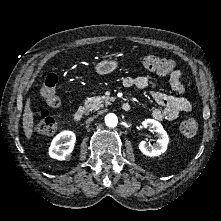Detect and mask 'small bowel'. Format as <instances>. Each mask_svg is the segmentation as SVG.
Here are the masks:
<instances>
[{
    "label": "small bowel",
    "mask_w": 221,
    "mask_h": 221,
    "mask_svg": "<svg viewBox=\"0 0 221 221\" xmlns=\"http://www.w3.org/2000/svg\"><path fill=\"white\" fill-rule=\"evenodd\" d=\"M150 82L149 75H142L137 77H125L122 85L129 88L145 89ZM171 89L178 94V96L168 95L160 91L152 90L150 95L152 99L161 107L152 110L151 115L156 120H175L181 113L190 112L192 104L182 95L185 92L184 77L180 70H175L170 75Z\"/></svg>",
    "instance_id": "obj_1"
}]
</instances>
